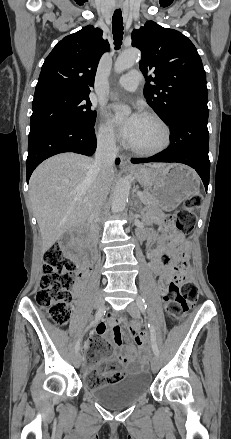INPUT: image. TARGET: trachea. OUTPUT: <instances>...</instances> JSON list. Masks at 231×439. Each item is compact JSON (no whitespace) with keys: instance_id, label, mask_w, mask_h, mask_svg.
<instances>
[{"instance_id":"trachea-1","label":"trachea","mask_w":231,"mask_h":439,"mask_svg":"<svg viewBox=\"0 0 231 439\" xmlns=\"http://www.w3.org/2000/svg\"><path fill=\"white\" fill-rule=\"evenodd\" d=\"M112 30L114 36L115 49H120L123 39V18L121 9L115 10L112 18Z\"/></svg>"}]
</instances>
